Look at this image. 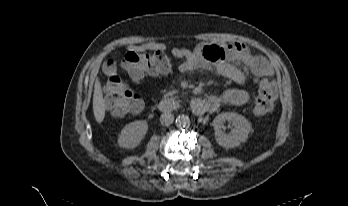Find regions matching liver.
<instances>
[{"instance_id":"liver-1","label":"liver","mask_w":348,"mask_h":206,"mask_svg":"<svg viewBox=\"0 0 348 206\" xmlns=\"http://www.w3.org/2000/svg\"><path fill=\"white\" fill-rule=\"evenodd\" d=\"M106 104L103 98V92L100 81L95 83L93 94V112L98 123H101L105 117Z\"/></svg>"}]
</instances>
